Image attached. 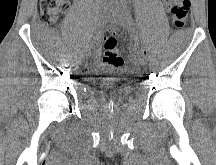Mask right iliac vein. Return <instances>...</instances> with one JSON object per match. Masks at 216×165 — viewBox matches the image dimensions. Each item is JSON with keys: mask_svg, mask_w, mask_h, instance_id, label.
<instances>
[{"mask_svg": "<svg viewBox=\"0 0 216 165\" xmlns=\"http://www.w3.org/2000/svg\"><path fill=\"white\" fill-rule=\"evenodd\" d=\"M106 20H107V14H106L105 11H102V12L99 14V17H98L96 30H95V33H94V36H93V42H94L96 39H98L100 29L102 28V26L104 25V23H106ZM92 48H93V44L89 47V49H88V51H87V56H90V55H91V53H92ZM84 60L87 62L89 59L86 57Z\"/></svg>", "mask_w": 216, "mask_h": 165, "instance_id": "63e3f726", "label": "right iliac vein"}]
</instances>
